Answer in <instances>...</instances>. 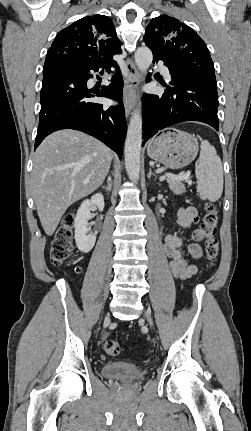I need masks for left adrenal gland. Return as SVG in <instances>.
<instances>
[{"label": "left adrenal gland", "mask_w": 251, "mask_h": 431, "mask_svg": "<svg viewBox=\"0 0 251 431\" xmlns=\"http://www.w3.org/2000/svg\"><path fill=\"white\" fill-rule=\"evenodd\" d=\"M152 175H153L155 178H157V177H156V174L151 170V168H149L148 178L150 179V177H151Z\"/></svg>", "instance_id": "1"}]
</instances>
